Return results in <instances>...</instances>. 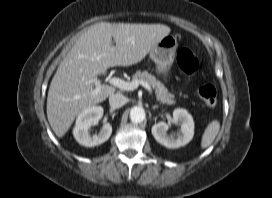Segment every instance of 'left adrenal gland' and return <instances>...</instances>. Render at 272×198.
<instances>
[{
	"instance_id": "obj_1",
	"label": "left adrenal gland",
	"mask_w": 272,
	"mask_h": 198,
	"mask_svg": "<svg viewBox=\"0 0 272 198\" xmlns=\"http://www.w3.org/2000/svg\"><path fill=\"white\" fill-rule=\"evenodd\" d=\"M158 108H159L158 105H155V106L152 107L153 110L158 109Z\"/></svg>"
}]
</instances>
